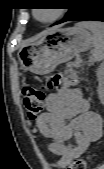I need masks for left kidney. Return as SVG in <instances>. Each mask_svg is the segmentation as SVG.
<instances>
[{
  "mask_svg": "<svg viewBox=\"0 0 104 169\" xmlns=\"http://www.w3.org/2000/svg\"><path fill=\"white\" fill-rule=\"evenodd\" d=\"M103 71H104V67L103 65H101L99 68H98V80H99V87L97 89V92H98V96H99V99L101 101H103L104 99V78H103Z\"/></svg>",
  "mask_w": 104,
  "mask_h": 169,
  "instance_id": "1",
  "label": "left kidney"
}]
</instances>
